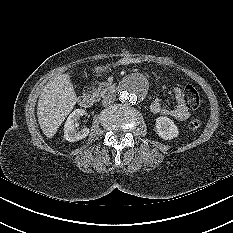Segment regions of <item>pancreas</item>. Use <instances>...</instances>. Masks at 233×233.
<instances>
[{"mask_svg": "<svg viewBox=\"0 0 233 233\" xmlns=\"http://www.w3.org/2000/svg\"><path fill=\"white\" fill-rule=\"evenodd\" d=\"M114 90V86L107 83V82H102L99 84L98 88H93L91 93L93 97L99 99L101 97H105L107 93L111 92Z\"/></svg>", "mask_w": 233, "mask_h": 233, "instance_id": "cf45deb5", "label": "pancreas"}]
</instances>
